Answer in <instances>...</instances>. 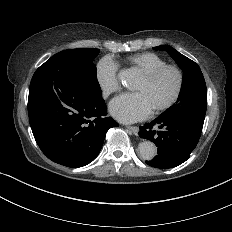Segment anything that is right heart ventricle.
Wrapping results in <instances>:
<instances>
[{
	"label": "right heart ventricle",
	"instance_id": "obj_1",
	"mask_svg": "<svg viewBox=\"0 0 232 232\" xmlns=\"http://www.w3.org/2000/svg\"><path fill=\"white\" fill-rule=\"evenodd\" d=\"M130 62L135 67H138L143 75L161 65L167 64V61L155 52H141L135 54L130 58Z\"/></svg>",
	"mask_w": 232,
	"mask_h": 232
}]
</instances>
